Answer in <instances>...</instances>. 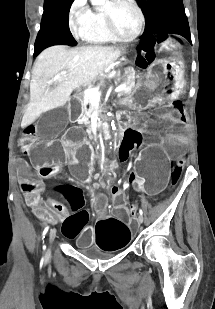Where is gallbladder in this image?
Returning <instances> with one entry per match:
<instances>
[{
	"mask_svg": "<svg viewBox=\"0 0 215 309\" xmlns=\"http://www.w3.org/2000/svg\"><path fill=\"white\" fill-rule=\"evenodd\" d=\"M66 114L65 109H52L49 113H43L42 121L35 127L38 136H56L57 132L62 131L61 125H64V122L68 120Z\"/></svg>",
	"mask_w": 215,
	"mask_h": 309,
	"instance_id": "obj_1",
	"label": "gallbladder"
}]
</instances>
